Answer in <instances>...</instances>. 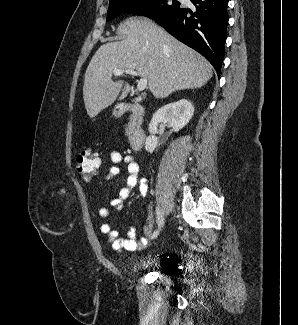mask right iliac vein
Wrapping results in <instances>:
<instances>
[{
    "label": "right iliac vein",
    "instance_id": "1",
    "mask_svg": "<svg viewBox=\"0 0 298 325\" xmlns=\"http://www.w3.org/2000/svg\"><path fill=\"white\" fill-rule=\"evenodd\" d=\"M157 225L159 230H161L164 225V212L160 207L157 208Z\"/></svg>",
    "mask_w": 298,
    "mask_h": 325
}]
</instances>
